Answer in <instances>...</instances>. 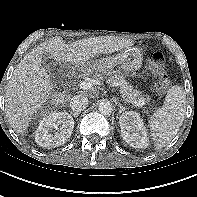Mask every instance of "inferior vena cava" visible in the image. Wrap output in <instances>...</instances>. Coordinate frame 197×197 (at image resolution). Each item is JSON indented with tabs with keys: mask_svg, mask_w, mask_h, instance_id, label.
Listing matches in <instances>:
<instances>
[{
	"mask_svg": "<svg viewBox=\"0 0 197 197\" xmlns=\"http://www.w3.org/2000/svg\"><path fill=\"white\" fill-rule=\"evenodd\" d=\"M88 104V98L83 95H74L70 100L71 110L76 114H80L81 111L85 110Z\"/></svg>",
	"mask_w": 197,
	"mask_h": 197,
	"instance_id": "obj_1",
	"label": "inferior vena cava"
}]
</instances>
